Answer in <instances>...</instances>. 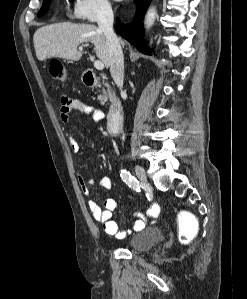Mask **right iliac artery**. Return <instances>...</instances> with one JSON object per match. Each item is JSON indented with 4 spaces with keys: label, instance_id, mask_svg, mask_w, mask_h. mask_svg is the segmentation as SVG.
<instances>
[{
    "label": "right iliac artery",
    "instance_id": "right-iliac-artery-1",
    "mask_svg": "<svg viewBox=\"0 0 247 299\" xmlns=\"http://www.w3.org/2000/svg\"><path fill=\"white\" fill-rule=\"evenodd\" d=\"M120 176L122 180L134 191H140V185L138 180L133 177L129 172L126 170H121Z\"/></svg>",
    "mask_w": 247,
    "mask_h": 299
}]
</instances>
